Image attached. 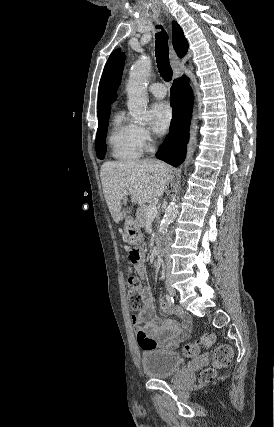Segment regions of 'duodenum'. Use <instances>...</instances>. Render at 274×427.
<instances>
[{"instance_id":"410a0bca","label":"duodenum","mask_w":274,"mask_h":427,"mask_svg":"<svg viewBox=\"0 0 274 427\" xmlns=\"http://www.w3.org/2000/svg\"><path fill=\"white\" fill-rule=\"evenodd\" d=\"M154 253L156 255H161L162 254V245L161 244H157L154 248Z\"/></svg>"}]
</instances>
